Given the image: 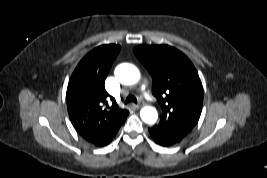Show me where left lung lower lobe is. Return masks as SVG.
Returning a JSON list of instances; mask_svg holds the SVG:
<instances>
[{"label":"left lung lower lobe","mask_w":267,"mask_h":178,"mask_svg":"<svg viewBox=\"0 0 267 178\" xmlns=\"http://www.w3.org/2000/svg\"><path fill=\"white\" fill-rule=\"evenodd\" d=\"M149 132L154 142L161 146L168 147L179 143L177 140L168 136L162 129L157 126L149 128Z\"/></svg>","instance_id":"1"}]
</instances>
